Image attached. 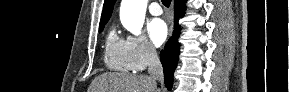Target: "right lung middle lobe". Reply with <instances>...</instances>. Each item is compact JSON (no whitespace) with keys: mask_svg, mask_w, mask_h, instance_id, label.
I'll return each instance as SVG.
<instances>
[{"mask_svg":"<svg viewBox=\"0 0 289 92\" xmlns=\"http://www.w3.org/2000/svg\"><path fill=\"white\" fill-rule=\"evenodd\" d=\"M105 24L99 26V32H101L104 28Z\"/></svg>","mask_w":289,"mask_h":92,"instance_id":"1","label":"right lung middle lobe"}]
</instances>
